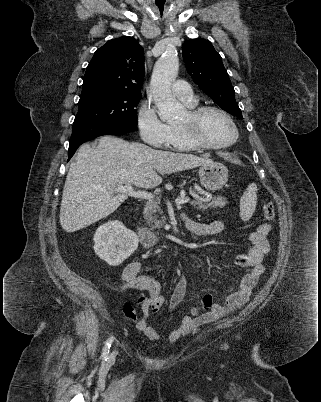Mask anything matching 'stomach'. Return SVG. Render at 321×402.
Masks as SVG:
<instances>
[{"mask_svg": "<svg viewBox=\"0 0 321 402\" xmlns=\"http://www.w3.org/2000/svg\"><path fill=\"white\" fill-rule=\"evenodd\" d=\"M201 184L207 190H219L228 180V169L221 163L212 162L199 167Z\"/></svg>", "mask_w": 321, "mask_h": 402, "instance_id": "stomach-1", "label": "stomach"}]
</instances>
